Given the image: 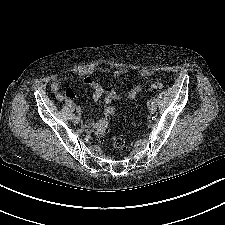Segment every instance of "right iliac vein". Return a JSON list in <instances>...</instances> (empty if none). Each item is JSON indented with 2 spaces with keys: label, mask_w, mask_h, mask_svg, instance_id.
Listing matches in <instances>:
<instances>
[{
  "label": "right iliac vein",
  "mask_w": 225,
  "mask_h": 225,
  "mask_svg": "<svg viewBox=\"0 0 225 225\" xmlns=\"http://www.w3.org/2000/svg\"><path fill=\"white\" fill-rule=\"evenodd\" d=\"M80 118L79 117H75L74 119H73V122L75 123V124H79L80 123Z\"/></svg>",
  "instance_id": "1"
}]
</instances>
